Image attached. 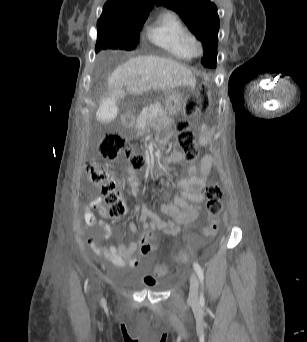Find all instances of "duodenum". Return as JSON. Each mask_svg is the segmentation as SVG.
Segmentation results:
<instances>
[{
    "instance_id": "duodenum-1",
    "label": "duodenum",
    "mask_w": 307,
    "mask_h": 342,
    "mask_svg": "<svg viewBox=\"0 0 307 342\" xmlns=\"http://www.w3.org/2000/svg\"><path fill=\"white\" fill-rule=\"evenodd\" d=\"M121 125H122V127H123L124 129H129V128H131L132 123H131L130 117H129V116H124V117L122 118V120H121Z\"/></svg>"
}]
</instances>
